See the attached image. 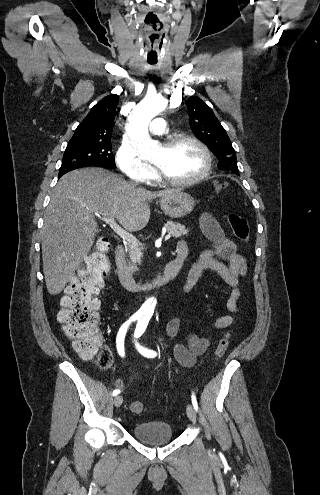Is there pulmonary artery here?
<instances>
[{
	"instance_id": "pulmonary-artery-1",
	"label": "pulmonary artery",
	"mask_w": 320,
	"mask_h": 495,
	"mask_svg": "<svg viewBox=\"0 0 320 495\" xmlns=\"http://www.w3.org/2000/svg\"><path fill=\"white\" fill-rule=\"evenodd\" d=\"M150 132L153 135H163L166 132V121L163 118H155L150 124Z\"/></svg>"
}]
</instances>
